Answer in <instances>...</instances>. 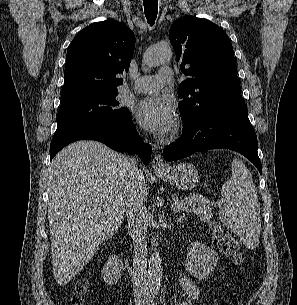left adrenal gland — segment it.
<instances>
[{
	"mask_svg": "<svg viewBox=\"0 0 297 305\" xmlns=\"http://www.w3.org/2000/svg\"><path fill=\"white\" fill-rule=\"evenodd\" d=\"M184 219H185V217H180V218L177 219V222H178V223H181V222L184 221Z\"/></svg>",
	"mask_w": 297,
	"mask_h": 305,
	"instance_id": "a2214340",
	"label": "left adrenal gland"
}]
</instances>
